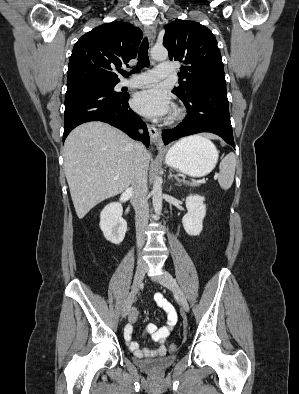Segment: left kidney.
Listing matches in <instances>:
<instances>
[{
	"instance_id": "5707ae66",
	"label": "left kidney",
	"mask_w": 299,
	"mask_h": 394,
	"mask_svg": "<svg viewBox=\"0 0 299 394\" xmlns=\"http://www.w3.org/2000/svg\"><path fill=\"white\" fill-rule=\"evenodd\" d=\"M205 198L199 195H189L186 198L187 214L182 218V224L187 234L197 236L203 228L206 215Z\"/></svg>"
}]
</instances>
